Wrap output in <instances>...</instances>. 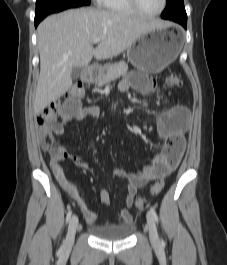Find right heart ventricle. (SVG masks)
I'll return each mask as SVG.
<instances>
[{"label":"right heart ventricle","mask_w":227,"mask_h":265,"mask_svg":"<svg viewBox=\"0 0 227 265\" xmlns=\"http://www.w3.org/2000/svg\"><path fill=\"white\" fill-rule=\"evenodd\" d=\"M106 10L125 15H137L128 0H98Z\"/></svg>","instance_id":"e07e8e85"}]
</instances>
